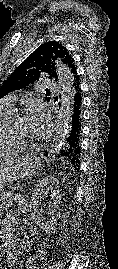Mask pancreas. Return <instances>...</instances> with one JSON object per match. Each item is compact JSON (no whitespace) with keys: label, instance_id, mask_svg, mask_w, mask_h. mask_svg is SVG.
I'll return each instance as SVG.
<instances>
[{"label":"pancreas","instance_id":"cf45deb5","mask_svg":"<svg viewBox=\"0 0 118 269\" xmlns=\"http://www.w3.org/2000/svg\"><path fill=\"white\" fill-rule=\"evenodd\" d=\"M33 177H23L19 182H12V187L10 188L11 192H21V190H27V185L30 182H33Z\"/></svg>","mask_w":118,"mask_h":269}]
</instances>
